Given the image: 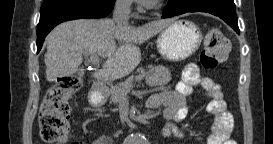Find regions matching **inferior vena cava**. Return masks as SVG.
<instances>
[{"instance_id": "inferior-vena-cava-1", "label": "inferior vena cava", "mask_w": 273, "mask_h": 144, "mask_svg": "<svg viewBox=\"0 0 273 144\" xmlns=\"http://www.w3.org/2000/svg\"><path fill=\"white\" fill-rule=\"evenodd\" d=\"M131 0H117L112 21L116 26H127L130 17Z\"/></svg>"}]
</instances>
